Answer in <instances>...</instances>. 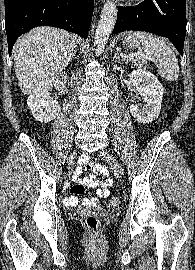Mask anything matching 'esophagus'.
Segmentation results:
<instances>
[{
	"label": "esophagus",
	"mask_w": 195,
	"mask_h": 270,
	"mask_svg": "<svg viewBox=\"0 0 195 270\" xmlns=\"http://www.w3.org/2000/svg\"><path fill=\"white\" fill-rule=\"evenodd\" d=\"M99 2H104L105 0H98Z\"/></svg>",
	"instance_id": "1"
}]
</instances>
